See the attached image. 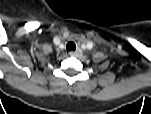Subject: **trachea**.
<instances>
[{
	"label": "trachea",
	"instance_id": "obj_1",
	"mask_svg": "<svg viewBox=\"0 0 151 114\" xmlns=\"http://www.w3.org/2000/svg\"><path fill=\"white\" fill-rule=\"evenodd\" d=\"M66 49H67V51H75V49H76L75 43L72 41L68 42L66 45Z\"/></svg>",
	"mask_w": 151,
	"mask_h": 114
}]
</instances>
